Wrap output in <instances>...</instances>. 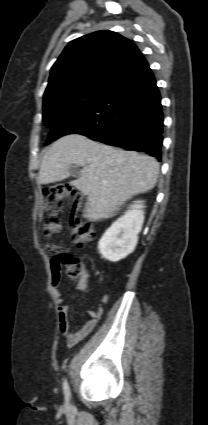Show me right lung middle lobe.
Segmentation results:
<instances>
[{
	"label": "right lung middle lobe",
	"mask_w": 208,
	"mask_h": 425,
	"mask_svg": "<svg viewBox=\"0 0 208 425\" xmlns=\"http://www.w3.org/2000/svg\"><path fill=\"white\" fill-rule=\"evenodd\" d=\"M104 91L105 89H85L44 102L43 122L52 126L60 117L73 114L94 103Z\"/></svg>",
	"instance_id": "right-lung-middle-lobe-1"
}]
</instances>
